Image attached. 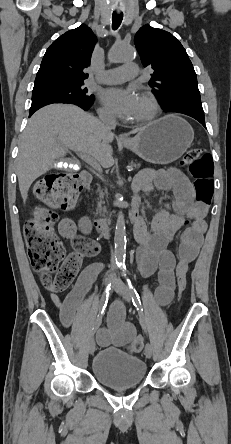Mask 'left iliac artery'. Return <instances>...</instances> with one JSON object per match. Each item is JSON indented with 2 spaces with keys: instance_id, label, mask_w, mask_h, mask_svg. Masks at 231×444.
Masks as SVG:
<instances>
[{
  "instance_id": "44dca946",
  "label": "left iliac artery",
  "mask_w": 231,
  "mask_h": 444,
  "mask_svg": "<svg viewBox=\"0 0 231 444\" xmlns=\"http://www.w3.org/2000/svg\"><path fill=\"white\" fill-rule=\"evenodd\" d=\"M127 281V285H128V289L130 292V296L132 298V302L134 304V306L137 308L139 316H140V323L145 331L146 334H148L147 332V324H146V319L143 313V308H142V304L140 301V297L139 294L137 293L134 285L132 284L131 280L127 277L126 278Z\"/></svg>"
}]
</instances>
